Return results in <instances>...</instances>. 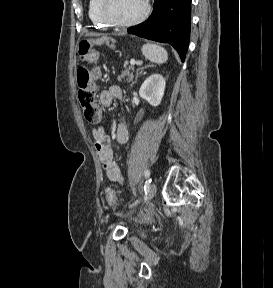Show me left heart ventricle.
<instances>
[{
  "label": "left heart ventricle",
  "instance_id": "1",
  "mask_svg": "<svg viewBox=\"0 0 273 288\" xmlns=\"http://www.w3.org/2000/svg\"><path fill=\"white\" fill-rule=\"evenodd\" d=\"M144 9L143 0H109L108 15L116 21H129L139 16Z\"/></svg>",
  "mask_w": 273,
  "mask_h": 288
}]
</instances>
